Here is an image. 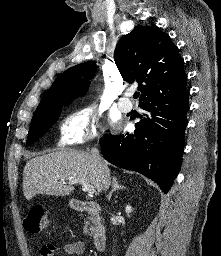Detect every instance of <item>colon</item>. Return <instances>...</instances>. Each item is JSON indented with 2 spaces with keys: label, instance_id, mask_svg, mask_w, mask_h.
Here are the masks:
<instances>
[{
  "label": "colon",
  "instance_id": "5ec220e1",
  "mask_svg": "<svg viewBox=\"0 0 221 256\" xmlns=\"http://www.w3.org/2000/svg\"><path fill=\"white\" fill-rule=\"evenodd\" d=\"M51 220L46 208L43 205H33L24 220V227L28 232L41 233L48 231Z\"/></svg>",
  "mask_w": 221,
  "mask_h": 256
}]
</instances>
